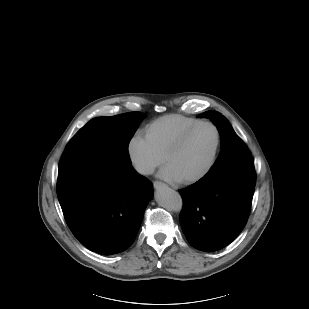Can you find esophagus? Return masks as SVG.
<instances>
[{"label": "esophagus", "mask_w": 309, "mask_h": 309, "mask_svg": "<svg viewBox=\"0 0 309 309\" xmlns=\"http://www.w3.org/2000/svg\"><path fill=\"white\" fill-rule=\"evenodd\" d=\"M153 185H154L155 189H158V188H160L162 186H165V184L163 182H161V181H154Z\"/></svg>", "instance_id": "34e87169"}]
</instances>
